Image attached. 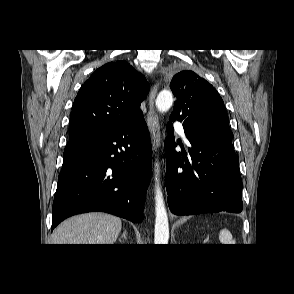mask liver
Returning a JSON list of instances; mask_svg holds the SVG:
<instances>
[{"mask_svg":"<svg viewBox=\"0 0 294 294\" xmlns=\"http://www.w3.org/2000/svg\"><path fill=\"white\" fill-rule=\"evenodd\" d=\"M122 228L121 219L92 212L71 217L52 234L53 244H114Z\"/></svg>","mask_w":294,"mask_h":294,"instance_id":"obj_1","label":"liver"}]
</instances>
